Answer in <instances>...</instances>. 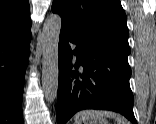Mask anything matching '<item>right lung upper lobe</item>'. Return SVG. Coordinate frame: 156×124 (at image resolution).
<instances>
[{
	"label": "right lung upper lobe",
	"mask_w": 156,
	"mask_h": 124,
	"mask_svg": "<svg viewBox=\"0 0 156 124\" xmlns=\"http://www.w3.org/2000/svg\"><path fill=\"white\" fill-rule=\"evenodd\" d=\"M28 0H0V34L30 29Z\"/></svg>",
	"instance_id": "obj_1"
}]
</instances>
